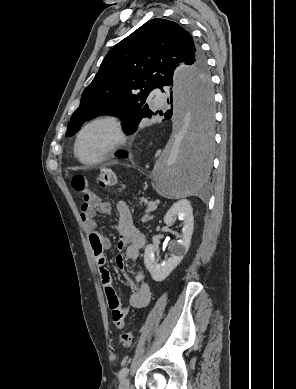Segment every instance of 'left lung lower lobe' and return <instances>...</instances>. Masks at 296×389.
<instances>
[{
	"label": "left lung lower lobe",
	"mask_w": 296,
	"mask_h": 389,
	"mask_svg": "<svg viewBox=\"0 0 296 389\" xmlns=\"http://www.w3.org/2000/svg\"><path fill=\"white\" fill-rule=\"evenodd\" d=\"M170 86L169 98L167 99L168 104L171 106L177 104V93L174 89L172 91L173 82H166L163 86ZM198 81L194 82V94L197 99V103L201 106V111L205 115V119L208 115L212 116V103L213 97H211V88L206 86L202 89L198 87ZM163 91V90H162ZM173 116L172 108L164 113L166 119H171ZM211 122H205L200 131L192 129L188 136V139L184 143L181 159L186 166L185 173L195 180L203 178L206 171L210 166V155H211V139L207 135V127ZM116 156L126 157V151H117Z\"/></svg>",
	"instance_id": "0a47b994"
}]
</instances>
